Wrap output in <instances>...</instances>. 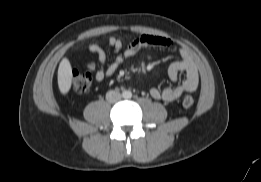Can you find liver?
Returning <instances> with one entry per match:
<instances>
[{"label": "liver", "mask_w": 261, "mask_h": 182, "mask_svg": "<svg viewBox=\"0 0 261 182\" xmlns=\"http://www.w3.org/2000/svg\"><path fill=\"white\" fill-rule=\"evenodd\" d=\"M72 83V67L67 58H63L58 68V87L62 94L68 93Z\"/></svg>", "instance_id": "1"}]
</instances>
